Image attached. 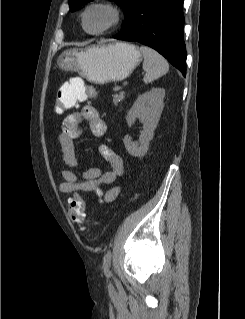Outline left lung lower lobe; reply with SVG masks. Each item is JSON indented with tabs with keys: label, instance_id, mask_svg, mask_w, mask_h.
<instances>
[{
	"label": "left lung lower lobe",
	"instance_id": "1",
	"mask_svg": "<svg viewBox=\"0 0 245 319\" xmlns=\"http://www.w3.org/2000/svg\"><path fill=\"white\" fill-rule=\"evenodd\" d=\"M183 1L139 0L128 22L114 38L152 47L185 76Z\"/></svg>",
	"mask_w": 245,
	"mask_h": 319
}]
</instances>
